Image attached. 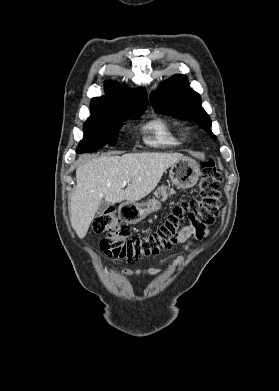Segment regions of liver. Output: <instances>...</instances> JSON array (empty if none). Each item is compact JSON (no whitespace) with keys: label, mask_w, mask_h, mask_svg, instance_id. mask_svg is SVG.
<instances>
[{"label":"liver","mask_w":279,"mask_h":391,"mask_svg":"<svg viewBox=\"0 0 279 391\" xmlns=\"http://www.w3.org/2000/svg\"><path fill=\"white\" fill-rule=\"evenodd\" d=\"M182 158L180 153L142 152L93 157L80 165L70 202V221L77 236H86L103 199L113 204L141 200L155 189L166 169ZM124 180H129L125 190Z\"/></svg>","instance_id":"liver-1"}]
</instances>
